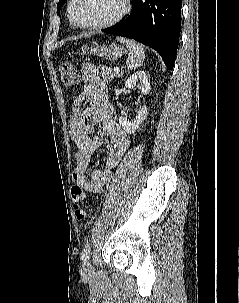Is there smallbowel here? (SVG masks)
I'll return each instance as SVG.
<instances>
[{"mask_svg":"<svg viewBox=\"0 0 239 303\" xmlns=\"http://www.w3.org/2000/svg\"><path fill=\"white\" fill-rule=\"evenodd\" d=\"M84 86L78 95L74 109L78 111L83 103L88 108L81 114H75L71 120L72 139L76 146V168L73 172L74 185L84 191L101 195L113 179V168L117 166L130 147L128 135L117 124L111 104L107 99V88L97 69L91 64L82 66ZM100 125L110 143L103 168L88 174L92 154L102 146V140L91 135V129Z\"/></svg>","mask_w":239,"mask_h":303,"instance_id":"obj_1","label":"small bowel"}]
</instances>
